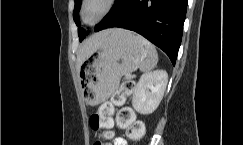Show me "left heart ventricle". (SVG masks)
Segmentation results:
<instances>
[{
	"label": "left heart ventricle",
	"instance_id": "obj_1",
	"mask_svg": "<svg viewBox=\"0 0 243 145\" xmlns=\"http://www.w3.org/2000/svg\"><path fill=\"white\" fill-rule=\"evenodd\" d=\"M104 6L103 0H92L86 7L85 18L88 21L94 20Z\"/></svg>",
	"mask_w": 243,
	"mask_h": 145
}]
</instances>
